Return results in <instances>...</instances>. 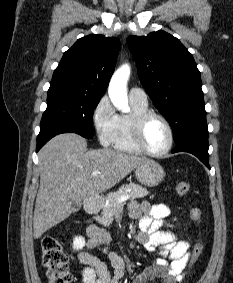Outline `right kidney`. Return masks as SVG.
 Wrapping results in <instances>:
<instances>
[{"label": "right kidney", "instance_id": "obj_1", "mask_svg": "<svg viewBox=\"0 0 233 283\" xmlns=\"http://www.w3.org/2000/svg\"><path fill=\"white\" fill-rule=\"evenodd\" d=\"M85 246V240L83 237H75L73 241V249L81 250Z\"/></svg>", "mask_w": 233, "mask_h": 283}]
</instances>
